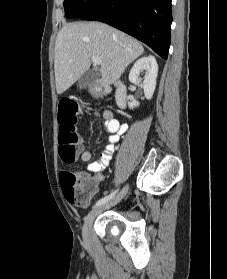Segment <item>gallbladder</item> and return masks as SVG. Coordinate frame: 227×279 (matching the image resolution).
<instances>
[{"label":"gallbladder","mask_w":227,"mask_h":279,"mask_svg":"<svg viewBox=\"0 0 227 279\" xmlns=\"http://www.w3.org/2000/svg\"><path fill=\"white\" fill-rule=\"evenodd\" d=\"M99 72L96 70H88L86 71L78 80L77 87L81 89H85L91 87L94 82L98 79Z\"/></svg>","instance_id":"obj_1"}]
</instances>
